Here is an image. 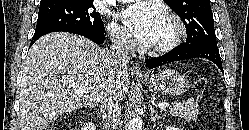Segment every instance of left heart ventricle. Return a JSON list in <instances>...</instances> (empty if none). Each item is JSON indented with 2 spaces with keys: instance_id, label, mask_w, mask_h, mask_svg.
<instances>
[{
  "instance_id": "left-heart-ventricle-1",
  "label": "left heart ventricle",
  "mask_w": 249,
  "mask_h": 130,
  "mask_svg": "<svg viewBox=\"0 0 249 130\" xmlns=\"http://www.w3.org/2000/svg\"><path fill=\"white\" fill-rule=\"evenodd\" d=\"M174 34V27L173 25L168 22L166 19H164L158 35H157V39L155 41V43L153 44V46L159 45L165 41H167L168 39H170Z\"/></svg>"
}]
</instances>
